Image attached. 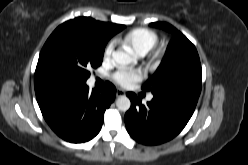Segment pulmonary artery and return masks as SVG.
I'll list each match as a JSON object with an SVG mask.
<instances>
[{
  "instance_id": "e3ab8cb5",
  "label": "pulmonary artery",
  "mask_w": 248,
  "mask_h": 165,
  "mask_svg": "<svg viewBox=\"0 0 248 165\" xmlns=\"http://www.w3.org/2000/svg\"><path fill=\"white\" fill-rule=\"evenodd\" d=\"M153 98V96L152 95H150V96H148V100H151Z\"/></svg>"
}]
</instances>
